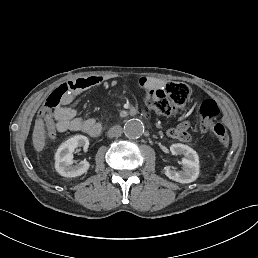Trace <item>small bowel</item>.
Returning <instances> with one entry per match:
<instances>
[{
	"mask_svg": "<svg viewBox=\"0 0 258 258\" xmlns=\"http://www.w3.org/2000/svg\"><path fill=\"white\" fill-rule=\"evenodd\" d=\"M114 79V76L93 75L69 81L75 86L71 97L66 103L57 108L50 118L44 120L47 136L52 139L57 131H82L90 136H97L101 131V124L95 118L84 119L79 117L70 104L73 98L81 92L98 86H109ZM140 83L145 85L146 80L141 79ZM199 105V101H196L195 107L197 109ZM189 127L190 122L184 119L177 126L169 129L167 135L173 139L190 142L192 137L188 132Z\"/></svg>",
	"mask_w": 258,
	"mask_h": 258,
	"instance_id": "obj_1",
	"label": "small bowel"
}]
</instances>
